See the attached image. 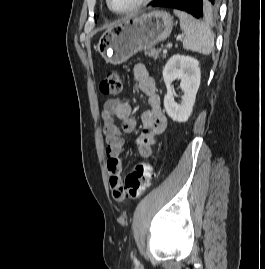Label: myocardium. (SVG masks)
<instances>
[{"instance_id":"myocardium-1","label":"myocardium","mask_w":265,"mask_h":269,"mask_svg":"<svg viewBox=\"0 0 265 269\" xmlns=\"http://www.w3.org/2000/svg\"><path fill=\"white\" fill-rule=\"evenodd\" d=\"M152 0H140L138 1L134 6H132L129 9H125V10H115L112 5H111V1L110 0H106V4L108 6V8L116 14H129V13H133L138 11L139 9L145 7L148 3H150Z\"/></svg>"}]
</instances>
